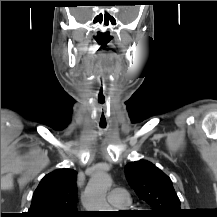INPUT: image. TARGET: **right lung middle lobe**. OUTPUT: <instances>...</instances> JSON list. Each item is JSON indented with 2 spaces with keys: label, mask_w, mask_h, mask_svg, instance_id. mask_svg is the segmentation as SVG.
I'll return each mask as SVG.
<instances>
[{
  "label": "right lung middle lobe",
  "mask_w": 217,
  "mask_h": 217,
  "mask_svg": "<svg viewBox=\"0 0 217 217\" xmlns=\"http://www.w3.org/2000/svg\"><path fill=\"white\" fill-rule=\"evenodd\" d=\"M78 215H64L63 217H77Z\"/></svg>",
  "instance_id": "right-lung-middle-lobe-1"
}]
</instances>
